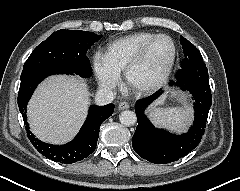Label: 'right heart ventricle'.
Segmentation results:
<instances>
[{
    "label": "right heart ventricle",
    "mask_w": 240,
    "mask_h": 191,
    "mask_svg": "<svg viewBox=\"0 0 240 191\" xmlns=\"http://www.w3.org/2000/svg\"><path fill=\"white\" fill-rule=\"evenodd\" d=\"M155 35L152 32H137L118 38L109 43L106 55L116 70L123 72L141 47Z\"/></svg>",
    "instance_id": "1"
}]
</instances>
